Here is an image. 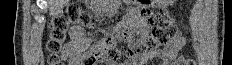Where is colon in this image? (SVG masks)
I'll list each match as a JSON object with an SVG mask.
<instances>
[{
	"label": "colon",
	"instance_id": "5ec220e1",
	"mask_svg": "<svg viewBox=\"0 0 232 65\" xmlns=\"http://www.w3.org/2000/svg\"><path fill=\"white\" fill-rule=\"evenodd\" d=\"M142 12H148L146 10ZM74 27H92L89 14L76 4H71L51 22L46 49L49 65H62L68 30ZM177 33L174 19L164 8L159 9V19L150 35L142 37L136 47L138 55L158 50L167 44ZM114 37H105L97 41L83 55L84 65H95L105 59L116 60L120 52L115 47ZM65 57V56H64Z\"/></svg>",
	"mask_w": 232,
	"mask_h": 65
}]
</instances>
